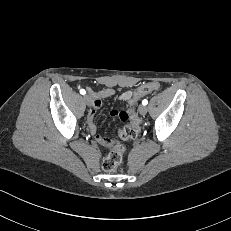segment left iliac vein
Returning <instances> with one entry per match:
<instances>
[{"mask_svg":"<svg viewBox=\"0 0 231 231\" xmlns=\"http://www.w3.org/2000/svg\"><path fill=\"white\" fill-rule=\"evenodd\" d=\"M139 112L140 114L145 115L147 113V107L145 105H141L139 107Z\"/></svg>","mask_w":231,"mask_h":231,"instance_id":"left-iliac-vein-1","label":"left iliac vein"}]
</instances>
